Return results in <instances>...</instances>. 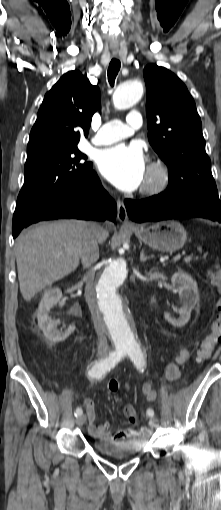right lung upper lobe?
<instances>
[{
  "label": "right lung upper lobe",
  "mask_w": 221,
  "mask_h": 510,
  "mask_svg": "<svg viewBox=\"0 0 221 510\" xmlns=\"http://www.w3.org/2000/svg\"><path fill=\"white\" fill-rule=\"evenodd\" d=\"M100 105V91L78 70L64 74L48 91L30 132L27 155L42 149L77 145L88 135Z\"/></svg>",
  "instance_id": "right-lung-upper-lobe-1"
}]
</instances>
